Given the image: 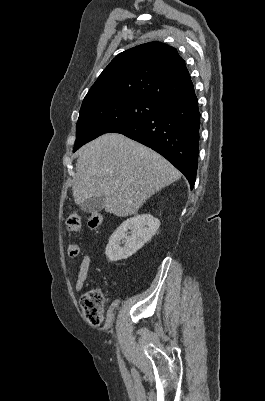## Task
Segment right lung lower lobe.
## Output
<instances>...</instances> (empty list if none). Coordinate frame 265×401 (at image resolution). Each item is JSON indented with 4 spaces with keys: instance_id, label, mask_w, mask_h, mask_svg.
Wrapping results in <instances>:
<instances>
[{
    "instance_id": "obj_1",
    "label": "right lung lower lobe",
    "mask_w": 265,
    "mask_h": 401,
    "mask_svg": "<svg viewBox=\"0 0 265 401\" xmlns=\"http://www.w3.org/2000/svg\"><path fill=\"white\" fill-rule=\"evenodd\" d=\"M200 112L194 88L164 100L152 114L113 133L138 141L170 161L193 189L198 167Z\"/></svg>"
}]
</instances>
